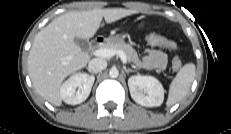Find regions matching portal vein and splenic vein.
I'll return each instance as SVG.
<instances>
[{
    "mask_svg": "<svg viewBox=\"0 0 231 134\" xmlns=\"http://www.w3.org/2000/svg\"><path fill=\"white\" fill-rule=\"evenodd\" d=\"M95 56L102 57V58H111L114 55H118L121 59V61L126 64L127 63V56L126 54L121 50H114V49H108V48H100L98 50H95L93 52Z\"/></svg>",
    "mask_w": 231,
    "mask_h": 134,
    "instance_id": "1",
    "label": "portal vein and splenic vein"
}]
</instances>
